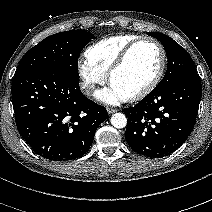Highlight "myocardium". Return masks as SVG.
<instances>
[{
	"label": "myocardium",
	"instance_id": "obj_1",
	"mask_svg": "<svg viewBox=\"0 0 212 212\" xmlns=\"http://www.w3.org/2000/svg\"><path fill=\"white\" fill-rule=\"evenodd\" d=\"M142 43H150L158 49V51L160 53V65H159L158 71L156 72V74L152 78V80L140 91H138L137 93L128 97V99L131 101H137V100L143 99L148 94H150L160 83V81L164 75L166 63H167L166 51H165L164 47L162 46V44L160 42H158L157 40H155L153 38H149V37L137 38L136 40L132 41L129 45H127V47L122 51V53L120 54L118 59L111 66V68L109 69V71L107 73L108 82L111 84L113 76L125 66L132 51L138 45H140Z\"/></svg>",
	"mask_w": 212,
	"mask_h": 212
}]
</instances>
